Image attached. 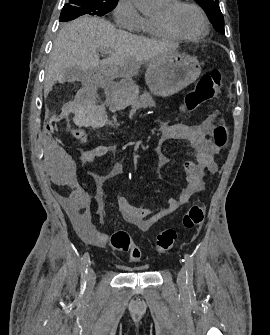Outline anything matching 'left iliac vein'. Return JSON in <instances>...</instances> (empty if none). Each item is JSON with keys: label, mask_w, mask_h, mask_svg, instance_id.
Segmentation results:
<instances>
[{"label": "left iliac vein", "mask_w": 270, "mask_h": 335, "mask_svg": "<svg viewBox=\"0 0 270 335\" xmlns=\"http://www.w3.org/2000/svg\"><path fill=\"white\" fill-rule=\"evenodd\" d=\"M186 280H187V270L186 267L183 266L178 272L177 283L179 286L183 287L186 285Z\"/></svg>", "instance_id": "left-iliac-vein-1"}]
</instances>
